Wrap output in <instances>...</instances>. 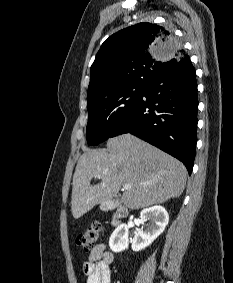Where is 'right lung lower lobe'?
<instances>
[{"mask_svg": "<svg viewBox=\"0 0 233 283\" xmlns=\"http://www.w3.org/2000/svg\"><path fill=\"white\" fill-rule=\"evenodd\" d=\"M197 82L189 56L158 75L111 137L131 133L193 169L197 142Z\"/></svg>", "mask_w": 233, "mask_h": 283, "instance_id": "1", "label": "right lung lower lobe"}]
</instances>
